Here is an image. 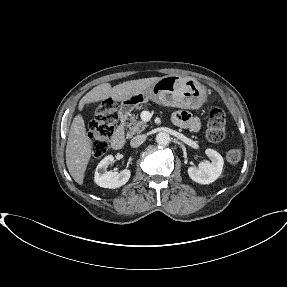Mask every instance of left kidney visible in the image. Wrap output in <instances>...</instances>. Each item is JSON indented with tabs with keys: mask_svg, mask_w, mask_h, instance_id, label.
<instances>
[{
	"mask_svg": "<svg viewBox=\"0 0 287 287\" xmlns=\"http://www.w3.org/2000/svg\"><path fill=\"white\" fill-rule=\"evenodd\" d=\"M206 155L211 162H201L196 167L188 168L189 177L199 184H210L214 182L222 173L224 160L222 156L213 149H206Z\"/></svg>",
	"mask_w": 287,
	"mask_h": 287,
	"instance_id": "left-kidney-1",
	"label": "left kidney"
}]
</instances>
